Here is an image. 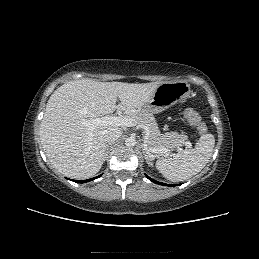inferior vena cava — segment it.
Segmentation results:
<instances>
[{
	"label": "inferior vena cava",
	"mask_w": 259,
	"mask_h": 259,
	"mask_svg": "<svg viewBox=\"0 0 259 259\" xmlns=\"http://www.w3.org/2000/svg\"><path fill=\"white\" fill-rule=\"evenodd\" d=\"M122 135V130L113 128L108 131H106L104 135L105 142L112 143L115 142L117 139H119Z\"/></svg>",
	"instance_id": "1"
}]
</instances>
